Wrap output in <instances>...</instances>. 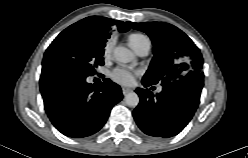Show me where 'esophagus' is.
Masks as SVG:
<instances>
[{
  "label": "esophagus",
  "instance_id": "obj_1",
  "mask_svg": "<svg viewBox=\"0 0 248 158\" xmlns=\"http://www.w3.org/2000/svg\"><path fill=\"white\" fill-rule=\"evenodd\" d=\"M132 90L130 88L122 87V93L123 95H127L130 93Z\"/></svg>",
  "mask_w": 248,
  "mask_h": 158
}]
</instances>
